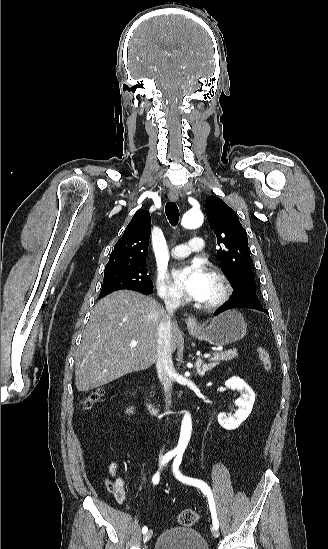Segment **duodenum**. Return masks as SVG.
I'll list each match as a JSON object with an SVG mask.
<instances>
[{
  "label": "duodenum",
  "instance_id": "410a0bca",
  "mask_svg": "<svg viewBox=\"0 0 328 549\" xmlns=\"http://www.w3.org/2000/svg\"><path fill=\"white\" fill-rule=\"evenodd\" d=\"M144 405L146 409L152 414H159L163 411V408L161 406L152 403L147 397H144Z\"/></svg>",
  "mask_w": 328,
  "mask_h": 549
}]
</instances>
